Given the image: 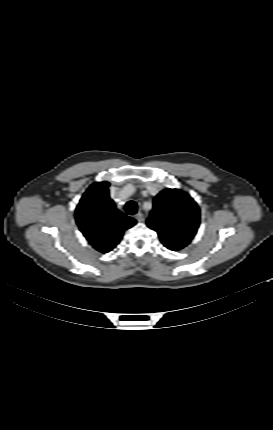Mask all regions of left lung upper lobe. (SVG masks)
Instances as JSON below:
<instances>
[{"label":"left lung upper lobe","mask_w":273,"mask_h":430,"mask_svg":"<svg viewBox=\"0 0 273 430\" xmlns=\"http://www.w3.org/2000/svg\"><path fill=\"white\" fill-rule=\"evenodd\" d=\"M200 221L197 203L185 192L165 189L154 198L147 226L155 230L170 250H180L190 243Z\"/></svg>","instance_id":"obj_1"}]
</instances>
